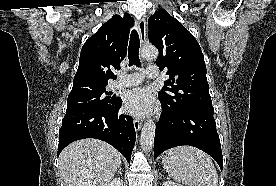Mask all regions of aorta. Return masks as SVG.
Instances as JSON below:
<instances>
[{
  "mask_svg": "<svg viewBox=\"0 0 276 186\" xmlns=\"http://www.w3.org/2000/svg\"><path fill=\"white\" fill-rule=\"evenodd\" d=\"M158 55L159 52L154 46L144 47L140 52V57L144 60H156ZM155 129V123L151 119L147 120L143 125L140 138V146L143 151H150L152 149L155 138Z\"/></svg>",
  "mask_w": 276,
  "mask_h": 186,
  "instance_id": "762f6f07",
  "label": "aorta"
}]
</instances>
